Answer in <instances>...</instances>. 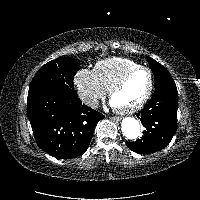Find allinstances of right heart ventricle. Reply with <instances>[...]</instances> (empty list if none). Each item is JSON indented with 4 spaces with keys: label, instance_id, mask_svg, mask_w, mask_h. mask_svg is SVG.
<instances>
[{
    "label": "right heart ventricle",
    "instance_id": "1",
    "mask_svg": "<svg viewBox=\"0 0 200 200\" xmlns=\"http://www.w3.org/2000/svg\"><path fill=\"white\" fill-rule=\"evenodd\" d=\"M140 64L126 57H111L97 62L94 68L95 75L101 85L109 90L129 70Z\"/></svg>",
    "mask_w": 200,
    "mask_h": 200
}]
</instances>
